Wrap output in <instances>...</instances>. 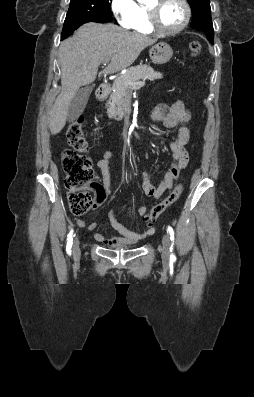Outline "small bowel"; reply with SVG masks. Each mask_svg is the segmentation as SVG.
<instances>
[{"mask_svg":"<svg viewBox=\"0 0 254 397\" xmlns=\"http://www.w3.org/2000/svg\"><path fill=\"white\" fill-rule=\"evenodd\" d=\"M151 121L162 122L166 128L178 127V134L175 139L170 141L169 146L172 153V160L170 167L163 173V176L158 184H154L147 171L142 173V189L147 196L159 199L162 195L167 193L177 181L181 171L188 165L189 155L185 148L190 139L189 123L191 121V113L186 108L184 100H178L172 105L161 103L157 105L150 114ZM112 151H106L103 158L97 163V167L102 176V182L96 183L93 191L96 199L93 209L100 208L107 198L111 196V173L109 160L112 157ZM147 211L145 206H139L137 213L144 215ZM109 221L113 229L118 232V235L106 236L97 232V224L91 223L89 229L93 231L94 238L103 244L115 245H132L136 244L154 233V228H148L141 232H133L128 230L116 218V210L112 209L109 212ZM77 225L85 227L86 223L82 220H77Z\"/></svg>","mask_w":254,"mask_h":397,"instance_id":"small-bowel-1","label":"small bowel"}]
</instances>
